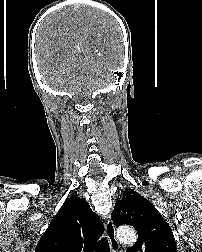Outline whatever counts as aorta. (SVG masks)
<instances>
[{
  "label": "aorta",
  "instance_id": "762f6f07",
  "mask_svg": "<svg viewBox=\"0 0 202 252\" xmlns=\"http://www.w3.org/2000/svg\"><path fill=\"white\" fill-rule=\"evenodd\" d=\"M117 236L122 243L131 244L136 239V234L132 228L119 229Z\"/></svg>",
  "mask_w": 202,
  "mask_h": 252
}]
</instances>
